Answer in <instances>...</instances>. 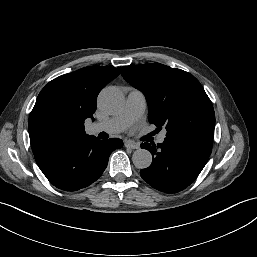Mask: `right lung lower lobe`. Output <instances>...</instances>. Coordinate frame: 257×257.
I'll return each instance as SVG.
<instances>
[{
  "instance_id": "1",
  "label": "right lung lower lobe",
  "mask_w": 257,
  "mask_h": 257,
  "mask_svg": "<svg viewBox=\"0 0 257 257\" xmlns=\"http://www.w3.org/2000/svg\"><path fill=\"white\" fill-rule=\"evenodd\" d=\"M122 146V140L117 138L99 140L89 136L68 141L49 153L35 156V160L55 187L76 191L96 181L107 167L111 152Z\"/></svg>"
}]
</instances>
